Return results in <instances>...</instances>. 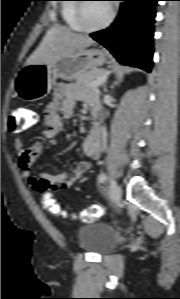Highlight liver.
I'll return each instance as SVG.
<instances>
[{"label":"liver","mask_w":180,"mask_h":299,"mask_svg":"<svg viewBox=\"0 0 180 299\" xmlns=\"http://www.w3.org/2000/svg\"><path fill=\"white\" fill-rule=\"evenodd\" d=\"M94 41L87 35L75 33L62 26L50 28L44 35L41 43L27 59L26 64L53 63L62 57L85 49Z\"/></svg>","instance_id":"6515ba94"}]
</instances>
